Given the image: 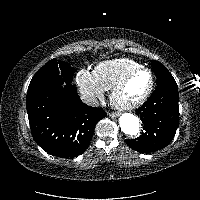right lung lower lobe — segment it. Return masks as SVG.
Returning a JSON list of instances; mask_svg holds the SVG:
<instances>
[{"instance_id":"1","label":"right lung lower lobe","mask_w":200,"mask_h":200,"mask_svg":"<svg viewBox=\"0 0 200 200\" xmlns=\"http://www.w3.org/2000/svg\"><path fill=\"white\" fill-rule=\"evenodd\" d=\"M26 108L31 133L47 153L74 157L88 147L102 108L84 104L74 85H50L27 91Z\"/></svg>"}]
</instances>
